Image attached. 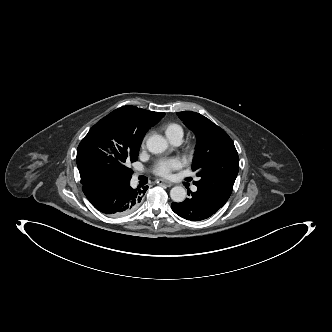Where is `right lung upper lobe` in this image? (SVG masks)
Segmentation results:
<instances>
[{
  "instance_id": "cb5924a9",
  "label": "right lung upper lobe",
  "mask_w": 332,
  "mask_h": 332,
  "mask_svg": "<svg viewBox=\"0 0 332 332\" xmlns=\"http://www.w3.org/2000/svg\"><path fill=\"white\" fill-rule=\"evenodd\" d=\"M119 109L125 111L137 123L147 122L155 125L165 115L162 112H152L135 106H123Z\"/></svg>"
}]
</instances>
